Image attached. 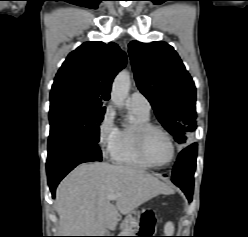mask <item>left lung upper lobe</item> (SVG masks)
I'll return each mask as SVG.
<instances>
[{
	"label": "left lung upper lobe",
	"mask_w": 248,
	"mask_h": 237,
	"mask_svg": "<svg viewBox=\"0 0 248 237\" xmlns=\"http://www.w3.org/2000/svg\"><path fill=\"white\" fill-rule=\"evenodd\" d=\"M136 84L178 143H185L196 125V88L177 52L165 42L129 44Z\"/></svg>",
	"instance_id": "1"
}]
</instances>
